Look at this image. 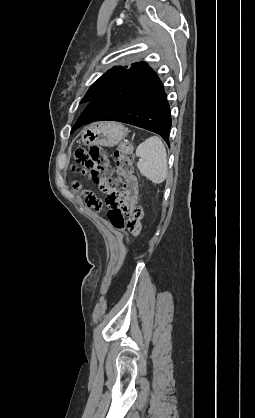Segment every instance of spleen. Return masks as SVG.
<instances>
[{"instance_id": "3e777b00", "label": "spleen", "mask_w": 255, "mask_h": 418, "mask_svg": "<svg viewBox=\"0 0 255 418\" xmlns=\"http://www.w3.org/2000/svg\"><path fill=\"white\" fill-rule=\"evenodd\" d=\"M136 156L137 167L141 174L154 184L162 183L168 173L167 153L161 139L151 136L138 145Z\"/></svg>"}]
</instances>
